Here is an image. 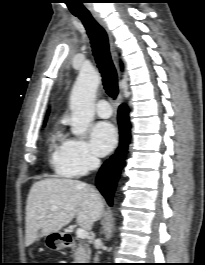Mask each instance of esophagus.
<instances>
[{"label":"esophagus","instance_id":"1","mask_svg":"<svg viewBox=\"0 0 205 265\" xmlns=\"http://www.w3.org/2000/svg\"><path fill=\"white\" fill-rule=\"evenodd\" d=\"M92 16L104 28V30L106 31V33L108 35L112 58H113L114 63L118 69L119 76H121V72H120V68H119L118 55H117V52H116V49L114 46L112 33H111L110 29L108 28L106 22L101 18V16L98 13L93 12ZM121 103H122V94L120 93V95L118 97V105H120Z\"/></svg>","mask_w":205,"mask_h":265}]
</instances>
